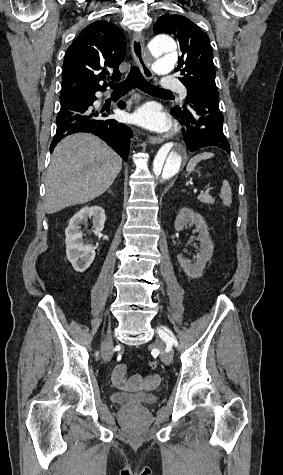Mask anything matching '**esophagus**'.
<instances>
[{
    "mask_svg": "<svg viewBox=\"0 0 283 475\" xmlns=\"http://www.w3.org/2000/svg\"><path fill=\"white\" fill-rule=\"evenodd\" d=\"M144 44L145 42H144L143 35L141 33L134 34L132 42H131V51L143 75L147 79H152L154 75L150 68V64L146 60ZM148 141L150 144H159L163 142V138L156 137V136H149Z\"/></svg>",
    "mask_w": 283,
    "mask_h": 475,
    "instance_id": "1",
    "label": "esophagus"
}]
</instances>
